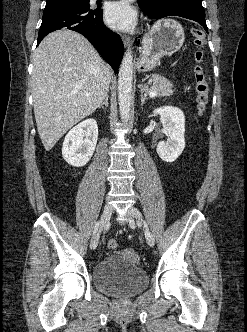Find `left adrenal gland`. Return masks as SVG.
I'll return each instance as SVG.
<instances>
[{
	"mask_svg": "<svg viewBox=\"0 0 247 332\" xmlns=\"http://www.w3.org/2000/svg\"><path fill=\"white\" fill-rule=\"evenodd\" d=\"M148 98L146 96L143 95V93L141 92V106H143L145 100H147Z\"/></svg>",
	"mask_w": 247,
	"mask_h": 332,
	"instance_id": "left-adrenal-gland-1",
	"label": "left adrenal gland"
}]
</instances>
